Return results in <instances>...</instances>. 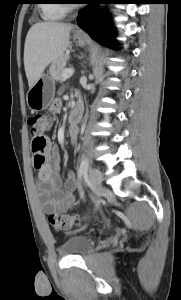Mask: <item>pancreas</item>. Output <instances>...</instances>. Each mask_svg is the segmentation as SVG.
Instances as JSON below:
<instances>
[{"instance_id": "obj_1", "label": "pancreas", "mask_w": 181, "mask_h": 300, "mask_svg": "<svg viewBox=\"0 0 181 300\" xmlns=\"http://www.w3.org/2000/svg\"><path fill=\"white\" fill-rule=\"evenodd\" d=\"M69 55L65 54L56 59L50 66L49 73L55 81H60L63 79V72L65 71L66 61Z\"/></svg>"}]
</instances>
